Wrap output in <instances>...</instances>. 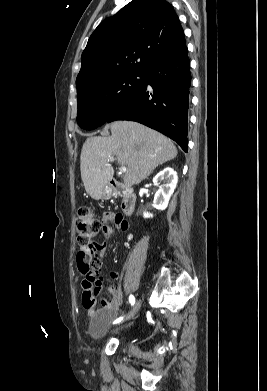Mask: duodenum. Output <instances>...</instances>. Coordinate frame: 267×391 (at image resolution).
I'll return each mask as SVG.
<instances>
[{"mask_svg": "<svg viewBox=\"0 0 267 391\" xmlns=\"http://www.w3.org/2000/svg\"><path fill=\"white\" fill-rule=\"evenodd\" d=\"M109 190L112 195L122 198V212L124 215H132L135 211L137 201V197L133 190L114 178L109 181Z\"/></svg>", "mask_w": 267, "mask_h": 391, "instance_id": "1", "label": "duodenum"}]
</instances>
